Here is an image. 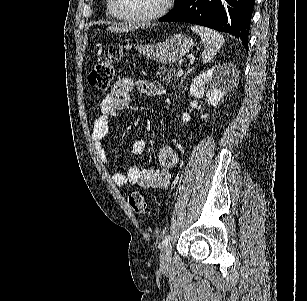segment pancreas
<instances>
[{"mask_svg": "<svg viewBox=\"0 0 307 301\" xmlns=\"http://www.w3.org/2000/svg\"><path fill=\"white\" fill-rule=\"evenodd\" d=\"M163 74H165L163 78L167 80V82H170V80H178L179 78L175 68H164Z\"/></svg>", "mask_w": 307, "mask_h": 301, "instance_id": "cf45deb5", "label": "pancreas"}]
</instances>
